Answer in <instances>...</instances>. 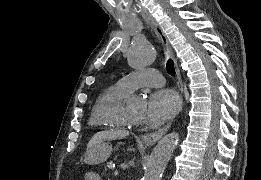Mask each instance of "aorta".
<instances>
[{"label":"aorta","instance_id":"obj_1","mask_svg":"<svg viewBox=\"0 0 261 180\" xmlns=\"http://www.w3.org/2000/svg\"><path fill=\"white\" fill-rule=\"evenodd\" d=\"M156 58L155 48L147 41H136L128 52V63L134 69L144 68L154 62ZM138 98L131 100L136 104ZM179 140L177 133H170L163 137L155 146L148 159L142 180H161L166 165L173 154Z\"/></svg>","mask_w":261,"mask_h":180}]
</instances>
